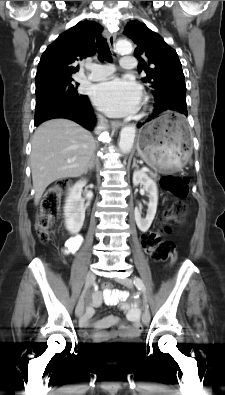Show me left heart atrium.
I'll list each match as a JSON object with an SVG mask.
<instances>
[{
  "instance_id": "39dd6f15",
  "label": "left heart atrium",
  "mask_w": 225,
  "mask_h": 395,
  "mask_svg": "<svg viewBox=\"0 0 225 395\" xmlns=\"http://www.w3.org/2000/svg\"><path fill=\"white\" fill-rule=\"evenodd\" d=\"M141 96L137 83L119 77L97 84L91 94L94 104L110 116H124L135 112Z\"/></svg>"
}]
</instances>
